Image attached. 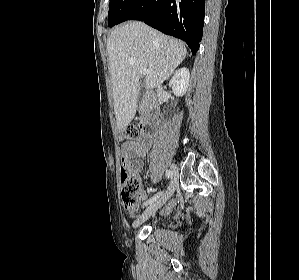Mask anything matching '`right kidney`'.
<instances>
[{
    "mask_svg": "<svg viewBox=\"0 0 299 280\" xmlns=\"http://www.w3.org/2000/svg\"><path fill=\"white\" fill-rule=\"evenodd\" d=\"M189 80H190L189 70L184 67V68L179 69L174 74V76L172 77V79L169 82V85L171 86L173 93L176 96L181 97V96L185 95V93L188 89Z\"/></svg>",
    "mask_w": 299,
    "mask_h": 280,
    "instance_id": "1",
    "label": "right kidney"
}]
</instances>
